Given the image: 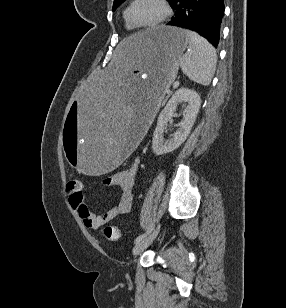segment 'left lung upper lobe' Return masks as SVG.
I'll return each instance as SVG.
<instances>
[{
  "instance_id": "1",
  "label": "left lung upper lobe",
  "mask_w": 286,
  "mask_h": 308,
  "mask_svg": "<svg viewBox=\"0 0 286 308\" xmlns=\"http://www.w3.org/2000/svg\"><path fill=\"white\" fill-rule=\"evenodd\" d=\"M125 0H114V4H113V10H115L121 3H123ZM169 1V3L172 1V0H167Z\"/></svg>"
}]
</instances>
